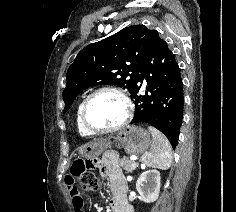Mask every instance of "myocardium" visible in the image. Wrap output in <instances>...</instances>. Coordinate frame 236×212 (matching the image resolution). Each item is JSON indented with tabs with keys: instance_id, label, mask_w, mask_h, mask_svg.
Returning a JSON list of instances; mask_svg holds the SVG:
<instances>
[{
	"instance_id": "obj_1",
	"label": "myocardium",
	"mask_w": 236,
	"mask_h": 212,
	"mask_svg": "<svg viewBox=\"0 0 236 212\" xmlns=\"http://www.w3.org/2000/svg\"><path fill=\"white\" fill-rule=\"evenodd\" d=\"M103 92H112L118 95L122 99L125 105V115H124L123 120L118 125L114 127H110V128L99 129V128H94L89 124L87 120V109L91 100L96 95ZM133 111H134L133 103L130 97L128 96V94L123 89L117 86H113V85H106V86H102L95 89L84 99L81 106V111H80V120L85 130L89 132L90 134H109V133L118 132L124 129L131 121L132 116H133Z\"/></svg>"
}]
</instances>
